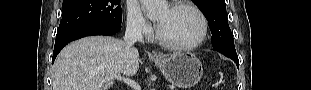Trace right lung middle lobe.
<instances>
[{
	"label": "right lung middle lobe",
	"mask_w": 311,
	"mask_h": 90,
	"mask_svg": "<svg viewBox=\"0 0 311 90\" xmlns=\"http://www.w3.org/2000/svg\"><path fill=\"white\" fill-rule=\"evenodd\" d=\"M120 0H63V16L57 34L85 25H120Z\"/></svg>",
	"instance_id": "1"
}]
</instances>
